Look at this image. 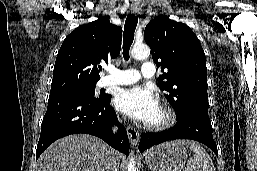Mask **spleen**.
<instances>
[{
    "instance_id": "spleen-1",
    "label": "spleen",
    "mask_w": 257,
    "mask_h": 171,
    "mask_svg": "<svg viewBox=\"0 0 257 171\" xmlns=\"http://www.w3.org/2000/svg\"><path fill=\"white\" fill-rule=\"evenodd\" d=\"M177 146H187L194 155L188 160L185 171H215V167L209 154L198 143L189 140H176L172 142Z\"/></svg>"
}]
</instances>
